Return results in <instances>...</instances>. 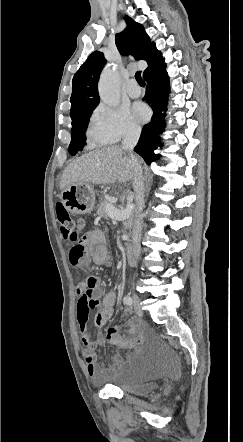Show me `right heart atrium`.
<instances>
[{
    "mask_svg": "<svg viewBox=\"0 0 243 442\" xmlns=\"http://www.w3.org/2000/svg\"><path fill=\"white\" fill-rule=\"evenodd\" d=\"M93 123L111 143L135 137L140 133L139 124L124 107H109L103 104L98 106Z\"/></svg>",
    "mask_w": 243,
    "mask_h": 442,
    "instance_id": "right-heart-atrium-1",
    "label": "right heart atrium"
}]
</instances>
